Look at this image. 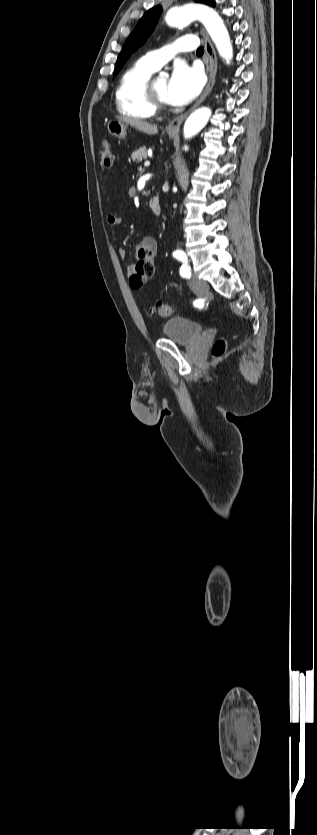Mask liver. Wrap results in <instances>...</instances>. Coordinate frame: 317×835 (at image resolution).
Listing matches in <instances>:
<instances>
[{
  "label": "liver",
  "mask_w": 317,
  "mask_h": 835,
  "mask_svg": "<svg viewBox=\"0 0 317 835\" xmlns=\"http://www.w3.org/2000/svg\"><path fill=\"white\" fill-rule=\"evenodd\" d=\"M124 121L126 123L130 124L132 127H134L139 132H142V133H145V134H148V135H153V134L158 133L157 126L152 125V124H150L146 121L134 120V119H124Z\"/></svg>",
  "instance_id": "6515ba94"
}]
</instances>
